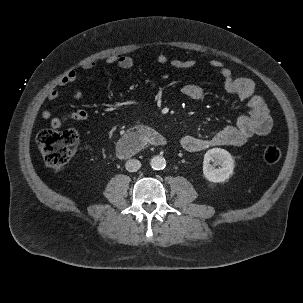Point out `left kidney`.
I'll use <instances>...</instances> for the list:
<instances>
[{"label": "left kidney", "mask_w": 303, "mask_h": 303, "mask_svg": "<svg viewBox=\"0 0 303 303\" xmlns=\"http://www.w3.org/2000/svg\"><path fill=\"white\" fill-rule=\"evenodd\" d=\"M211 162H213V165L210 164ZM216 165L221 167L215 168ZM234 166V159L227 150L221 148L209 149L204 155L203 174L210 182H224L232 176Z\"/></svg>", "instance_id": "left-kidney-1"}]
</instances>
